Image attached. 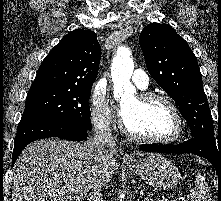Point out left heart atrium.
Returning a JSON list of instances; mask_svg holds the SVG:
<instances>
[{
    "instance_id": "39dd6f15",
    "label": "left heart atrium",
    "mask_w": 221,
    "mask_h": 201,
    "mask_svg": "<svg viewBox=\"0 0 221 201\" xmlns=\"http://www.w3.org/2000/svg\"><path fill=\"white\" fill-rule=\"evenodd\" d=\"M121 114H122V116H123V110H121Z\"/></svg>"
}]
</instances>
